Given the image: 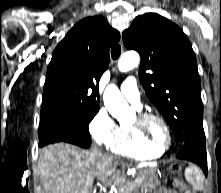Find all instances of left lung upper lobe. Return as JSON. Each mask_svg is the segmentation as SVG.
<instances>
[{"label":"left lung upper lobe","mask_w":221,"mask_h":193,"mask_svg":"<svg viewBox=\"0 0 221 193\" xmlns=\"http://www.w3.org/2000/svg\"><path fill=\"white\" fill-rule=\"evenodd\" d=\"M129 50L141 56L139 77L145 93L182 143L205 137L200 76L184 32L170 20L145 13L123 32Z\"/></svg>","instance_id":"5c2ea615"}]
</instances>
